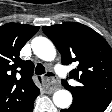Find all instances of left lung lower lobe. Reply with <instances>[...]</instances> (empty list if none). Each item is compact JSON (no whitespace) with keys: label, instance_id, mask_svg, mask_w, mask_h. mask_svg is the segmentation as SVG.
<instances>
[{"label":"left lung lower lobe","instance_id":"left-lung-lower-lobe-1","mask_svg":"<svg viewBox=\"0 0 112 112\" xmlns=\"http://www.w3.org/2000/svg\"><path fill=\"white\" fill-rule=\"evenodd\" d=\"M106 106L97 105V104H85L73 102L70 108L63 109L61 112H104Z\"/></svg>","mask_w":112,"mask_h":112}]
</instances>
